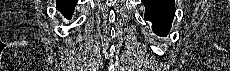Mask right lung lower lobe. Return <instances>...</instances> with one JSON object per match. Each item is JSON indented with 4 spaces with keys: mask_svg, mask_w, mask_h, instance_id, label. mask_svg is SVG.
<instances>
[{
    "mask_svg": "<svg viewBox=\"0 0 230 71\" xmlns=\"http://www.w3.org/2000/svg\"><path fill=\"white\" fill-rule=\"evenodd\" d=\"M77 3V0H57L56 7L66 17L72 15L73 9Z\"/></svg>",
    "mask_w": 230,
    "mask_h": 71,
    "instance_id": "right-lung-lower-lobe-1",
    "label": "right lung lower lobe"
}]
</instances>
